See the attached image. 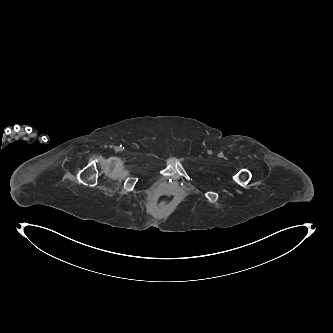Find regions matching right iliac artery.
<instances>
[{"mask_svg": "<svg viewBox=\"0 0 333 333\" xmlns=\"http://www.w3.org/2000/svg\"><path fill=\"white\" fill-rule=\"evenodd\" d=\"M122 148H121V145H120V147H117V150H121Z\"/></svg>", "mask_w": 333, "mask_h": 333, "instance_id": "right-iliac-artery-1", "label": "right iliac artery"}]
</instances>
